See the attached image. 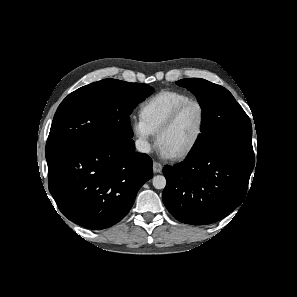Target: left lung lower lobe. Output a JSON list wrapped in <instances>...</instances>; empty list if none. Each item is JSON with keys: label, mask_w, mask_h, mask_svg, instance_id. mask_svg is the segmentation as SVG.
<instances>
[{"label": "left lung lower lobe", "mask_w": 297, "mask_h": 297, "mask_svg": "<svg viewBox=\"0 0 297 297\" xmlns=\"http://www.w3.org/2000/svg\"><path fill=\"white\" fill-rule=\"evenodd\" d=\"M254 163V155L223 148L188 156L164 167L163 202L180 222L214 223L243 202Z\"/></svg>", "instance_id": "left-lung-lower-lobe-1"}]
</instances>
